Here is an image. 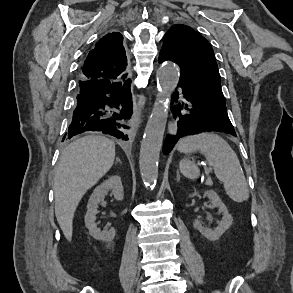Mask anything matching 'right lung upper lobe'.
Masks as SVG:
<instances>
[{
	"label": "right lung upper lobe",
	"instance_id": "1",
	"mask_svg": "<svg viewBox=\"0 0 293 293\" xmlns=\"http://www.w3.org/2000/svg\"><path fill=\"white\" fill-rule=\"evenodd\" d=\"M127 57L123 36L118 32L103 36L92 49L82 66L81 81L127 79Z\"/></svg>",
	"mask_w": 293,
	"mask_h": 293
}]
</instances>
